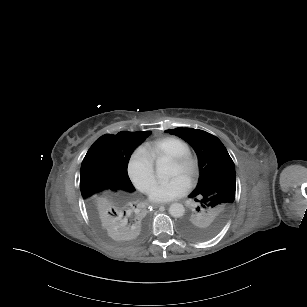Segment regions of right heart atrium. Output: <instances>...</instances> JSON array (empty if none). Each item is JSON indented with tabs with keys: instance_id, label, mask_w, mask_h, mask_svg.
<instances>
[{
	"instance_id": "right-heart-atrium-1",
	"label": "right heart atrium",
	"mask_w": 307,
	"mask_h": 307,
	"mask_svg": "<svg viewBox=\"0 0 307 307\" xmlns=\"http://www.w3.org/2000/svg\"><path fill=\"white\" fill-rule=\"evenodd\" d=\"M155 157L145 151L142 145L134 148L127 161V173L132 183L144 189L154 177Z\"/></svg>"
}]
</instances>
